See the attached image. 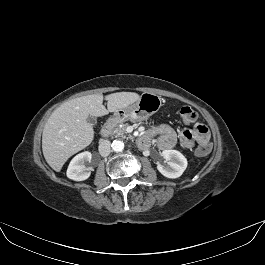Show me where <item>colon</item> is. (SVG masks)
I'll list each match as a JSON object with an SVG mask.
<instances>
[{
	"mask_svg": "<svg viewBox=\"0 0 265 265\" xmlns=\"http://www.w3.org/2000/svg\"><path fill=\"white\" fill-rule=\"evenodd\" d=\"M181 119L186 123H192L196 120V112L188 106L181 107L179 110ZM210 151V146L208 144H203L198 146L196 149V154L198 156H204Z\"/></svg>",
	"mask_w": 265,
	"mask_h": 265,
	"instance_id": "1",
	"label": "colon"
}]
</instances>
